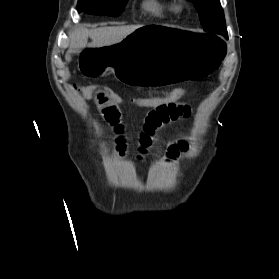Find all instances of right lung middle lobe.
<instances>
[{
    "label": "right lung middle lobe",
    "instance_id": "dd1d6c3e",
    "mask_svg": "<svg viewBox=\"0 0 279 279\" xmlns=\"http://www.w3.org/2000/svg\"><path fill=\"white\" fill-rule=\"evenodd\" d=\"M128 0H78V12L94 15L118 16Z\"/></svg>",
    "mask_w": 279,
    "mask_h": 279
}]
</instances>
